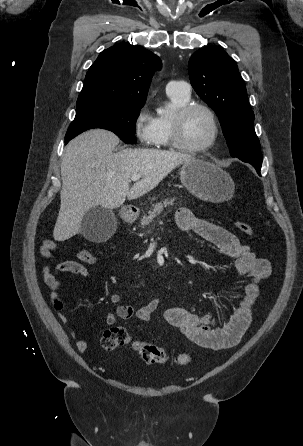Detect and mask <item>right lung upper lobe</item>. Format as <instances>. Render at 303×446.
Instances as JSON below:
<instances>
[{"mask_svg":"<svg viewBox=\"0 0 303 446\" xmlns=\"http://www.w3.org/2000/svg\"><path fill=\"white\" fill-rule=\"evenodd\" d=\"M161 60L151 51L130 44L103 50L89 68L77 106L118 103L143 106L155 69Z\"/></svg>","mask_w":303,"mask_h":446,"instance_id":"1","label":"right lung upper lobe"}]
</instances>
